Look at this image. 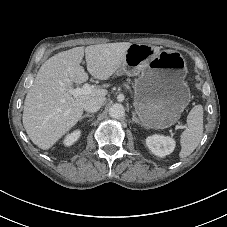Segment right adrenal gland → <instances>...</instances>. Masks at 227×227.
I'll return each mask as SVG.
<instances>
[{
    "label": "right adrenal gland",
    "mask_w": 227,
    "mask_h": 227,
    "mask_svg": "<svg viewBox=\"0 0 227 227\" xmlns=\"http://www.w3.org/2000/svg\"><path fill=\"white\" fill-rule=\"evenodd\" d=\"M87 117H90V118H93L94 117V114H84L81 118H80V121H82L84 118H87Z\"/></svg>",
    "instance_id": "right-adrenal-gland-1"
}]
</instances>
